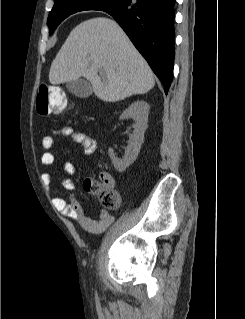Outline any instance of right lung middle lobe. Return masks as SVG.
<instances>
[{"instance_id":"obj_1","label":"right lung middle lobe","mask_w":245,"mask_h":319,"mask_svg":"<svg viewBox=\"0 0 245 319\" xmlns=\"http://www.w3.org/2000/svg\"><path fill=\"white\" fill-rule=\"evenodd\" d=\"M123 0H55L48 17L50 34L69 15L83 10H109L117 7Z\"/></svg>"}]
</instances>
